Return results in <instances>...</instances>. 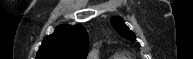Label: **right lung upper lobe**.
Here are the masks:
<instances>
[{
    "label": "right lung upper lobe",
    "instance_id": "right-lung-upper-lobe-1",
    "mask_svg": "<svg viewBox=\"0 0 193 59\" xmlns=\"http://www.w3.org/2000/svg\"><path fill=\"white\" fill-rule=\"evenodd\" d=\"M89 40L81 25L61 26L44 38L36 59H85Z\"/></svg>",
    "mask_w": 193,
    "mask_h": 59
}]
</instances>
